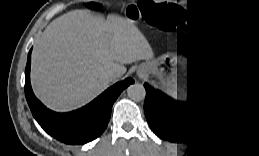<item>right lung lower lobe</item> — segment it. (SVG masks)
Returning <instances> with one entry per match:
<instances>
[{"mask_svg":"<svg viewBox=\"0 0 259 156\" xmlns=\"http://www.w3.org/2000/svg\"><path fill=\"white\" fill-rule=\"evenodd\" d=\"M31 50L25 69V96L30 110L40 126L51 136L66 144H84L99 137L106 129L111 108L119 94L130 84L131 78L108 88L86 106L68 113L46 108L34 95L30 84Z\"/></svg>","mask_w":259,"mask_h":156,"instance_id":"98d812e1","label":"right lung lower lobe"}]
</instances>
